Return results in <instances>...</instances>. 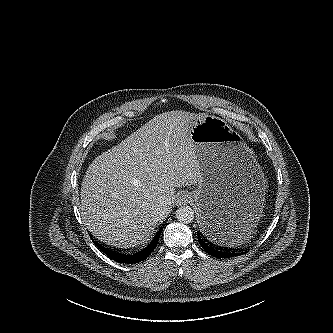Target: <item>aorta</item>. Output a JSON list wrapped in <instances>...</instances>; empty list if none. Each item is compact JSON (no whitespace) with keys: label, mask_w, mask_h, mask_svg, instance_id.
<instances>
[{"label":"aorta","mask_w":333,"mask_h":333,"mask_svg":"<svg viewBox=\"0 0 333 333\" xmlns=\"http://www.w3.org/2000/svg\"><path fill=\"white\" fill-rule=\"evenodd\" d=\"M176 218L179 222L190 223L194 219V210L190 206H181L176 211Z\"/></svg>","instance_id":"1"}]
</instances>
